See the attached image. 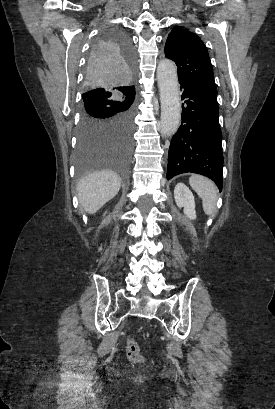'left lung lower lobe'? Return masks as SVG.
I'll return each instance as SVG.
<instances>
[{
  "label": "left lung lower lobe",
  "mask_w": 275,
  "mask_h": 409,
  "mask_svg": "<svg viewBox=\"0 0 275 409\" xmlns=\"http://www.w3.org/2000/svg\"><path fill=\"white\" fill-rule=\"evenodd\" d=\"M183 89L182 124L171 140L167 179L197 173L222 189L223 153L217 93L195 83L179 81Z\"/></svg>",
  "instance_id": "obj_1"
}]
</instances>
